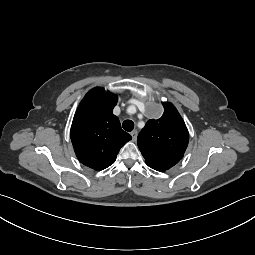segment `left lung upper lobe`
Here are the masks:
<instances>
[{
	"label": "left lung upper lobe",
	"instance_id": "1",
	"mask_svg": "<svg viewBox=\"0 0 255 255\" xmlns=\"http://www.w3.org/2000/svg\"><path fill=\"white\" fill-rule=\"evenodd\" d=\"M164 113L159 119H150L138 135V147L146 164L163 172L177 164L189 141L187 127L170 102H163Z\"/></svg>",
	"mask_w": 255,
	"mask_h": 255
}]
</instances>
